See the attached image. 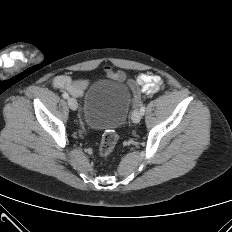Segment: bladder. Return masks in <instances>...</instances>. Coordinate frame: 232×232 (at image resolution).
Here are the masks:
<instances>
[{"instance_id":"obj_1","label":"bladder","mask_w":232,"mask_h":232,"mask_svg":"<svg viewBox=\"0 0 232 232\" xmlns=\"http://www.w3.org/2000/svg\"><path fill=\"white\" fill-rule=\"evenodd\" d=\"M130 91L118 81L103 80L91 85L83 102V116L93 129L118 128L127 119Z\"/></svg>"}]
</instances>
